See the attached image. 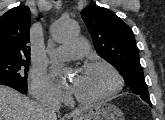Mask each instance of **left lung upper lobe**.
Returning a JSON list of instances; mask_svg holds the SVG:
<instances>
[{"label": "left lung upper lobe", "mask_w": 165, "mask_h": 120, "mask_svg": "<svg viewBox=\"0 0 165 120\" xmlns=\"http://www.w3.org/2000/svg\"><path fill=\"white\" fill-rule=\"evenodd\" d=\"M99 56L112 64L126 84L151 103L133 31L112 11L97 5L81 11Z\"/></svg>", "instance_id": "5c2ea615"}]
</instances>
